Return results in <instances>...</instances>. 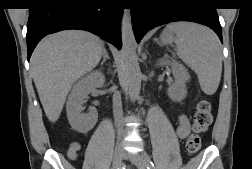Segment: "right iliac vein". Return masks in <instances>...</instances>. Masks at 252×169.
<instances>
[{"label":"right iliac vein","mask_w":252,"mask_h":169,"mask_svg":"<svg viewBox=\"0 0 252 169\" xmlns=\"http://www.w3.org/2000/svg\"><path fill=\"white\" fill-rule=\"evenodd\" d=\"M124 157V151L121 145H117L114 151V158H113V169H117L123 160Z\"/></svg>","instance_id":"obj_1"}]
</instances>
